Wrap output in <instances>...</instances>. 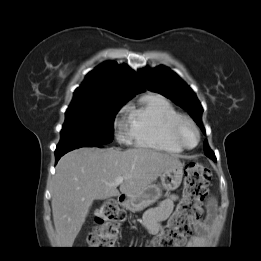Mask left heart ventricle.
<instances>
[{
    "instance_id": "1",
    "label": "left heart ventricle",
    "mask_w": 261,
    "mask_h": 261,
    "mask_svg": "<svg viewBox=\"0 0 261 261\" xmlns=\"http://www.w3.org/2000/svg\"><path fill=\"white\" fill-rule=\"evenodd\" d=\"M184 139L188 145H190V146L194 145L196 142V135H195L194 131L190 128H186L184 130Z\"/></svg>"
}]
</instances>
